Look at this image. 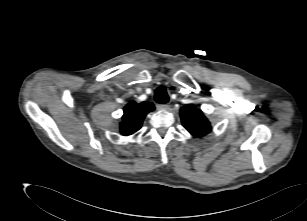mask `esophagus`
<instances>
[{
	"mask_svg": "<svg viewBox=\"0 0 307 221\" xmlns=\"http://www.w3.org/2000/svg\"><path fill=\"white\" fill-rule=\"evenodd\" d=\"M156 107L158 110H168L170 106L168 104H157Z\"/></svg>",
	"mask_w": 307,
	"mask_h": 221,
	"instance_id": "34e87169",
	"label": "esophagus"
}]
</instances>
